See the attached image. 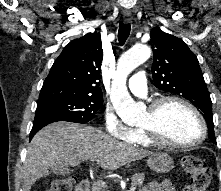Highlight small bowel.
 Returning <instances> with one entry per match:
<instances>
[{
    "mask_svg": "<svg viewBox=\"0 0 221 191\" xmlns=\"http://www.w3.org/2000/svg\"><path fill=\"white\" fill-rule=\"evenodd\" d=\"M140 191H176L172 183L165 180L161 183L150 182L146 184Z\"/></svg>",
    "mask_w": 221,
    "mask_h": 191,
    "instance_id": "obj_1",
    "label": "small bowel"
}]
</instances>
